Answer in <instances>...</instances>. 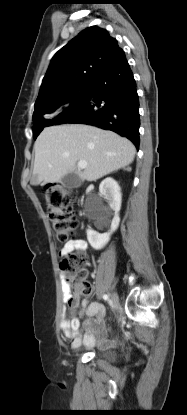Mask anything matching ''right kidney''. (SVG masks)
Here are the masks:
<instances>
[{
  "instance_id": "1",
  "label": "right kidney",
  "mask_w": 187,
  "mask_h": 415,
  "mask_svg": "<svg viewBox=\"0 0 187 415\" xmlns=\"http://www.w3.org/2000/svg\"><path fill=\"white\" fill-rule=\"evenodd\" d=\"M100 195L107 200L110 208L114 211V217L111 222L110 231L100 234L91 228L87 229V239L91 247L100 250L110 240L111 234L118 228L120 218L119 211L121 208V189L119 184L111 177L104 179L99 186Z\"/></svg>"
}]
</instances>
